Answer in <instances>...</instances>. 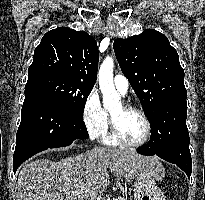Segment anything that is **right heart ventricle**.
Listing matches in <instances>:
<instances>
[{"mask_svg":"<svg viewBox=\"0 0 205 200\" xmlns=\"http://www.w3.org/2000/svg\"><path fill=\"white\" fill-rule=\"evenodd\" d=\"M101 140L105 145L108 146H116L118 144V142L112 136L111 132L108 130V127L106 131L103 133V135L101 136Z\"/></svg>","mask_w":205,"mask_h":200,"instance_id":"1","label":"right heart ventricle"}]
</instances>
